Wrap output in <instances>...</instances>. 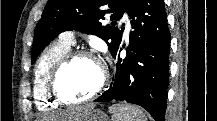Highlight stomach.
<instances>
[{
  "instance_id": "0dacf381",
  "label": "stomach",
  "mask_w": 217,
  "mask_h": 121,
  "mask_svg": "<svg viewBox=\"0 0 217 121\" xmlns=\"http://www.w3.org/2000/svg\"><path fill=\"white\" fill-rule=\"evenodd\" d=\"M83 121H109L108 116L101 110H93L83 117Z\"/></svg>"
}]
</instances>
